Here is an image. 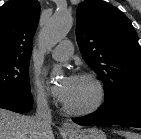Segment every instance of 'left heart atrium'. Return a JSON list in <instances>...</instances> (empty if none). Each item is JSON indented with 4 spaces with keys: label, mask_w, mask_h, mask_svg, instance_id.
<instances>
[{
    "label": "left heart atrium",
    "mask_w": 141,
    "mask_h": 139,
    "mask_svg": "<svg viewBox=\"0 0 141 139\" xmlns=\"http://www.w3.org/2000/svg\"><path fill=\"white\" fill-rule=\"evenodd\" d=\"M73 77L65 76L51 87L53 94L63 103L68 99Z\"/></svg>",
    "instance_id": "1"
}]
</instances>
